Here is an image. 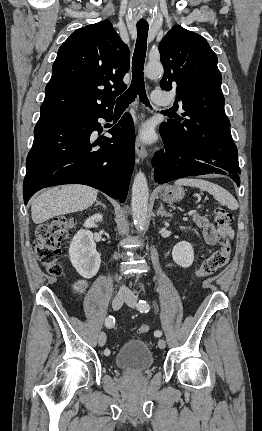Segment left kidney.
<instances>
[{"label":"left kidney","instance_id":"5707ae66","mask_svg":"<svg viewBox=\"0 0 262 431\" xmlns=\"http://www.w3.org/2000/svg\"><path fill=\"white\" fill-rule=\"evenodd\" d=\"M172 258L176 264L183 268H188L194 261V250L189 242L177 243L172 250Z\"/></svg>","mask_w":262,"mask_h":431}]
</instances>
